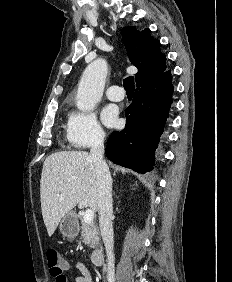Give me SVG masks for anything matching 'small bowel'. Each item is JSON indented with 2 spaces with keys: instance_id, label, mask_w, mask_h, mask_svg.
Instances as JSON below:
<instances>
[{
  "instance_id": "obj_1",
  "label": "small bowel",
  "mask_w": 232,
  "mask_h": 282,
  "mask_svg": "<svg viewBox=\"0 0 232 282\" xmlns=\"http://www.w3.org/2000/svg\"><path fill=\"white\" fill-rule=\"evenodd\" d=\"M75 269L78 271L79 275L75 277L74 282H93V275L90 268L82 263L77 262L75 264ZM64 270H69V264L64 261ZM56 282H67V278L64 275L61 278H55Z\"/></svg>"
}]
</instances>
